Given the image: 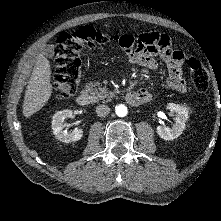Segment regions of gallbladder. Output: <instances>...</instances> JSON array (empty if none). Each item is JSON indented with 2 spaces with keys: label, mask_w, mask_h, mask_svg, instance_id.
Returning <instances> with one entry per match:
<instances>
[{
  "label": "gallbladder",
  "mask_w": 221,
  "mask_h": 221,
  "mask_svg": "<svg viewBox=\"0 0 221 221\" xmlns=\"http://www.w3.org/2000/svg\"><path fill=\"white\" fill-rule=\"evenodd\" d=\"M43 53L48 56V57H52L53 54H54V46L53 45H47L45 48H44V51Z\"/></svg>",
  "instance_id": "1"
}]
</instances>
